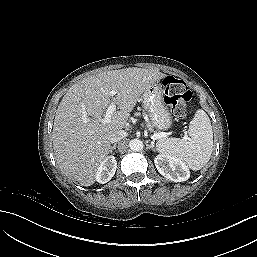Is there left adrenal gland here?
<instances>
[{
    "instance_id": "left-adrenal-gland-1",
    "label": "left adrenal gland",
    "mask_w": 257,
    "mask_h": 257,
    "mask_svg": "<svg viewBox=\"0 0 257 257\" xmlns=\"http://www.w3.org/2000/svg\"><path fill=\"white\" fill-rule=\"evenodd\" d=\"M148 143V141H147ZM148 148H151L154 151V142H151V144H146Z\"/></svg>"
}]
</instances>
